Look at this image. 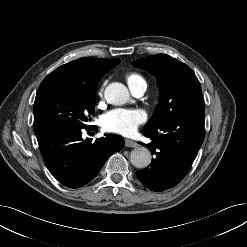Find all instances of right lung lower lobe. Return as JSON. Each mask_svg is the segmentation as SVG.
Wrapping results in <instances>:
<instances>
[{"mask_svg": "<svg viewBox=\"0 0 247 247\" xmlns=\"http://www.w3.org/2000/svg\"><path fill=\"white\" fill-rule=\"evenodd\" d=\"M34 132L47 168L62 185L70 188L90 182L108 157L124 147L123 137L115 134H107L94 142L83 140L80 128L38 126Z\"/></svg>", "mask_w": 247, "mask_h": 247, "instance_id": "1", "label": "right lung lower lobe"}]
</instances>
